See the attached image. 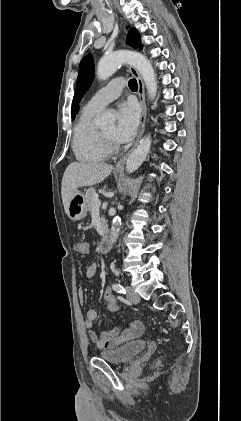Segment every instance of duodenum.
<instances>
[{
    "instance_id": "410a0bca",
    "label": "duodenum",
    "mask_w": 241,
    "mask_h": 421,
    "mask_svg": "<svg viewBox=\"0 0 241 421\" xmlns=\"http://www.w3.org/2000/svg\"><path fill=\"white\" fill-rule=\"evenodd\" d=\"M98 249L101 253H107L110 249V243L107 236H103L99 242Z\"/></svg>"
}]
</instances>
